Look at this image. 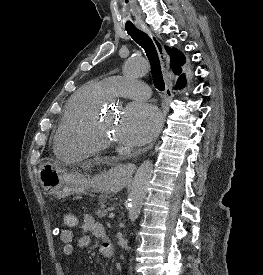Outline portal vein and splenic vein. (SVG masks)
<instances>
[{"label":"portal vein and splenic vein","mask_w":263,"mask_h":275,"mask_svg":"<svg viewBox=\"0 0 263 275\" xmlns=\"http://www.w3.org/2000/svg\"><path fill=\"white\" fill-rule=\"evenodd\" d=\"M114 216H115L114 212H111V213L109 214V218H113Z\"/></svg>","instance_id":"18ae733b"}]
</instances>
